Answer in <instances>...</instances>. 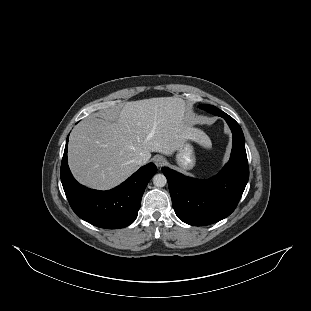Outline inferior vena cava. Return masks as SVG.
Wrapping results in <instances>:
<instances>
[{
	"instance_id": "obj_1",
	"label": "inferior vena cava",
	"mask_w": 311,
	"mask_h": 311,
	"mask_svg": "<svg viewBox=\"0 0 311 311\" xmlns=\"http://www.w3.org/2000/svg\"><path fill=\"white\" fill-rule=\"evenodd\" d=\"M135 163H137L138 165H141L143 162V157L142 156H137L134 160Z\"/></svg>"
}]
</instances>
